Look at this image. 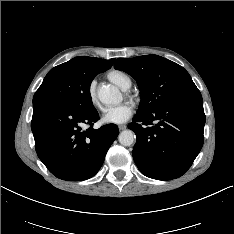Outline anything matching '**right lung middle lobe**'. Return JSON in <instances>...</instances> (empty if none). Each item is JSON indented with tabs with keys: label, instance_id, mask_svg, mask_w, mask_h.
<instances>
[{
	"label": "right lung middle lobe",
	"instance_id": "dd1d6c3e",
	"mask_svg": "<svg viewBox=\"0 0 234 234\" xmlns=\"http://www.w3.org/2000/svg\"><path fill=\"white\" fill-rule=\"evenodd\" d=\"M99 73L102 72L84 70L74 58L58 65L45 76L33 97V104L40 101H55L77 109H90L93 107L90 85Z\"/></svg>",
	"mask_w": 234,
	"mask_h": 234
}]
</instances>
